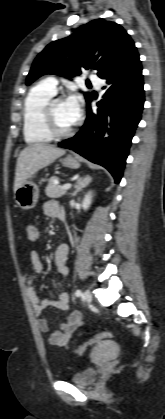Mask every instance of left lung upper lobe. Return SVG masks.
<instances>
[{"label": "left lung upper lobe", "instance_id": "5c2ea615", "mask_svg": "<svg viewBox=\"0 0 165 419\" xmlns=\"http://www.w3.org/2000/svg\"><path fill=\"white\" fill-rule=\"evenodd\" d=\"M127 32L115 22L93 20L79 27L67 38L54 41L36 57L26 84L44 74L64 77L80 75L82 69H94L102 78L134 49ZM86 101L91 99L85 93Z\"/></svg>", "mask_w": 165, "mask_h": 419}]
</instances>
